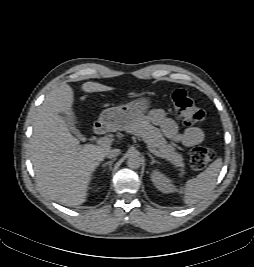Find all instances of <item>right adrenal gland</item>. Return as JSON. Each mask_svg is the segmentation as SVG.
I'll return each mask as SVG.
<instances>
[{
  "mask_svg": "<svg viewBox=\"0 0 254 267\" xmlns=\"http://www.w3.org/2000/svg\"><path fill=\"white\" fill-rule=\"evenodd\" d=\"M115 160L116 159L114 158L113 160L108 161V162L102 164V167H106L107 165H109V168L111 169L112 168V164H113V162H115Z\"/></svg>",
  "mask_w": 254,
  "mask_h": 267,
  "instance_id": "obj_1",
  "label": "right adrenal gland"
}]
</instances>
